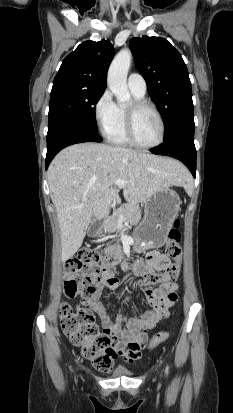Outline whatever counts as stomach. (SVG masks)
Listing matches in <instances>:
<instances>
[{
    "label": "stomach",
    "mask_w": 233,
    "mask_h": 413,
    "mask_svg": "<svg viewBox=\"0 0 233 413\" xmlns=\"http://www.w3.org/2000/svg\"><path fill=\"white\" fill-rule=\"evenodd\" d=\"M179 210L180 198L169 187L159 189L152 194L145 202L144 218L135 231L138 243L135 250L140 252L145 247H162ZM95 235H100V231L95 232Z\"/></svg>",
    "instance_id": "1"
}]
</instances>
